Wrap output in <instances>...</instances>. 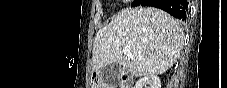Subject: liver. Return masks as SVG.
Returning a JSON list of instances; mask_svg holds the SVG:
<instances>
[{
  "label": "liver",
  "instance_id": "1",
  "mask_svg": "<svg viewBox=\"0 0 227 88\" xmlns=\"http://www.w3.org/2000/svg\"><path fill=\"white\" fill-rule=\"evenodd\" d=\"M184 40L180 22L154 7L126 8L100 29L94 40L92 69L116 63L135 77L163 74L178 59ZM129 49L130 59L122 51Z\"/></svg>",
  "mask_w": 227,
  "mask_h": 88
}]
</instances>
